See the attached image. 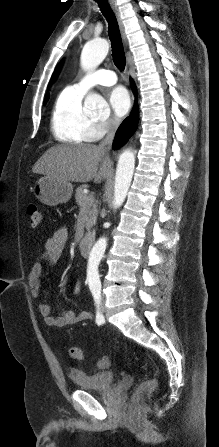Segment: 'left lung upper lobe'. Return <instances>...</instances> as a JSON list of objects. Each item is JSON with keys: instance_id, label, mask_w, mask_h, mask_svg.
Returning <instances> with one entry per match:
<instances>
[{"instance_id": "1", "label": "left lung upper lobe", "mask_w": 219, "mask_h": 447, "mask_svg": "<svg viewBox=\"0 0 219 447\" xmlns=\"http://www.w3.org/2000/svg\"><path fill=\"white\" fill-rule=\"evenodd\" d=\"M55 74H56V71H55L54 74L52 75V78L55 76Z\"/></svg>"}]
</instances>
